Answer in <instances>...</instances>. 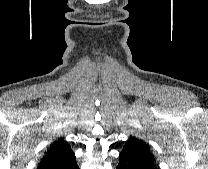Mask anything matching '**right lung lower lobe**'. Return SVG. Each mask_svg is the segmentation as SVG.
I'll use <instances>...</instances> for the list:
<instances>
[{
	"label": "right lung lower lobe",
	"instance_id": "98d812e1",
	"mask_svg": "<svg viewBox=\"0 0 208 169\" xmlns=\"http://www.w3.org/2000/svg\"><path fill=\"white\" fill-rule=\"evenodd\" d=\"M55 169H79L76 160L73 159L72 161L65 163L59 167H56Z\"/></svg>",
	"mask_w": 208,
	"mask_h": 169
}]
</instances>
